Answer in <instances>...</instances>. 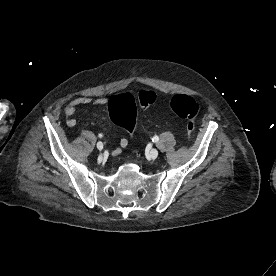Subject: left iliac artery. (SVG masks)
<instances>
[{
    "instance_id": "44dca946",
    "label": "left iliac artery",
    "mask_w": 276,
    "mask_h": 276,
    "mask_svg": "<svg viewBox=\"0 0 276 276\" xmlns=\"http://www.w3.org/2000/svg\"><path fill=\"white\" fill-rule=\"evenodd\" d=\"M152 141H153V142H158V141H159V137H158V136H154V137L152 138Z\"/></svg>"
}]
</instances>
